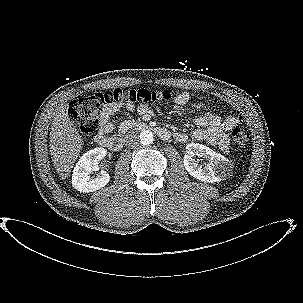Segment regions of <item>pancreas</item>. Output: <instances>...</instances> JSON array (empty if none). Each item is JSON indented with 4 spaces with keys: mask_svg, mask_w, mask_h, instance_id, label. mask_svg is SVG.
<instances>
[{
    "mask_svg": "<svg viewBox=\"0 0 303 303\" xmlns=\"http://www.w3.org/2000/svg\"><path fill=\"white\" fill-rule=\"evenodd\" d=\"M138 122H135L134 120H126L124 121L120 126V133H123L129 129H132Z\"/></svg>",
    "mask_w": 303,
    "mask_h": 303,
    "instance_id": "pancreas-1",
    "label": "pancreas"
}]
</instances>
